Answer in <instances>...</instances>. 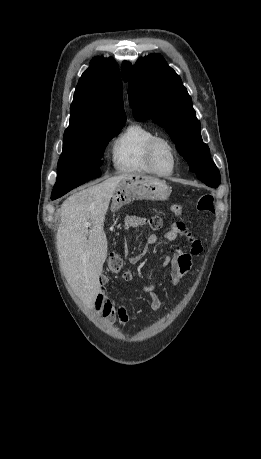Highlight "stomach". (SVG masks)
<instances>
[{
  "label": "stomach",
  "mask_w": 261,
  "mask_h": 459,
  "mask_svg": "<svg viewBox=\"0 0 261 459\" xmlns=\"http://www.w3.org/2000/svg\"><path fill=\"white\" fill-rule=\"evenodd\" d=\"M171 194L163 181L143 174L126 176L117 186L113 201L116 206L130 203L134 199L165 201Z\"/></svg>",
  "instance_id": "obj_1"
}]
</instances>
